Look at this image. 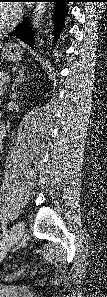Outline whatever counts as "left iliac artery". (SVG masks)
<instances>
[{"label": "left iliac artery", "mask_w": 107, "mask_h": 297, "mask_svg": "<svg viewBox=\"0 0 107 297\" xmlns=\"http://www.w3.org/2000/svg\"><path fill=\"white\" fill-rule=\"evenodd\" d=\"M2 229H3V232L5 234V237L3 238V240L0 242V246L1 248H4V246L6 245V243L8 242L9 240V236L5 230V227H4V224H2Z\"/></svg>", "instance_id": "obj_1"}]
</instances>
